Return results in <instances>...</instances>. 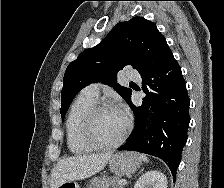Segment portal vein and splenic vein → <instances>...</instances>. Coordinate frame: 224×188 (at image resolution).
<instances>
[{
	"instance_id": "obj_1",
	"label": "portal vein and splenic vein",
	"mask_w": 224,
	"mask_h": 188,
	"mask_svg": "<svg viewBox=\"0 0 224 188\" xmlns=\"http://www.w3.org/2000/svg\"><path fill=\"white\" fill-rule=\"evenodd\" d=\"M120 185H126L127 184V181L125 179H121L119 180L118 182Z\"/></svg>"
}]
</instances>
